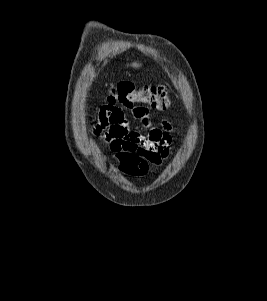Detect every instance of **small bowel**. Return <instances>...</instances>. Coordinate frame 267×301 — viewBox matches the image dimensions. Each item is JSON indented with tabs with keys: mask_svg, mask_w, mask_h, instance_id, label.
I'll use <instances>...</instances> for the list:
<instances>
[{
	"mask_svg": "<svg viewBox=\"0 0 267 301\" xmlns=\"http://www.w3.org/2000/svg\"><path fill=\"white\" fill-rule=\"evenodd\" d=\"M132 112L146 132L131 129L124 111L109 102L97 112L93 133L109 145L119 172L138 177L159 169L168 158L172 130L167 122L153 126L145 107H134Z\"/></svg>",
	"mask_w": 267,
	"mask_h": 301,
	"instance_id": "obj_1",
	"label": "small bowel"
}]
</instances>
